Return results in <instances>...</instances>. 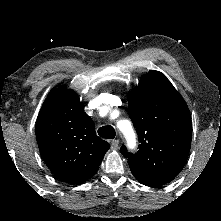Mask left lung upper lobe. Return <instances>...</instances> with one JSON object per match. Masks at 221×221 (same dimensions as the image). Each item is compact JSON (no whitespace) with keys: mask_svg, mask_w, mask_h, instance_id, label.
I'll return each instance as SVG.
<instances>
[{"mask_svg":"<svg viewBox=\"0 0 221 221\" xmlns=\"http://www.w3.org/2000/svg\"><path fill=\"white\" fill-rule=\"evenodd\" d=\"M128 114L136 128L139 150L123 145L132 174L150 187L172 181L182 170L191 146L189 109L171 82L155 70L143 75L128 93Z\"/></svg>","mask_w":221,"mask_h":221,"instance_id":"left-lung-upper-lobe-1","label":"left lung upper lobe"}]
</instances>
